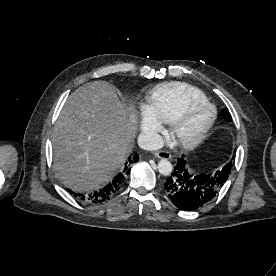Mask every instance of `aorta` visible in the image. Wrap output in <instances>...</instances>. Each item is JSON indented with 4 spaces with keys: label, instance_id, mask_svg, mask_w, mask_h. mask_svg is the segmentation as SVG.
Masks as SVG:
<instances>
[{
    "label": "aorta",
    "instance_id": "obj_1",
    "mask_svg": "<svg viewBox=\"0 0 276 276\" xmlns=\"http://www.w3.org/2000/svg\"><path fill=\"white\" fill-rule=\"evenodd\" d=\"M158 171L164 176H169L173 171V166L167 159H161L158 163Z\"/></svg>",
    "mask_w": 276,
    "mask_h": 276
}]
</instances>
